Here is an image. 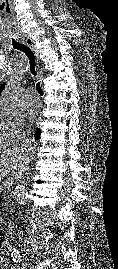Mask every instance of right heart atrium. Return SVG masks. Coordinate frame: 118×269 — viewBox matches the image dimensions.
<instances>
[{
	"label": "right heart atrium",
	"instance_id": "obj_1",
	"mask_svg": "<svg viewBox=\"0 0 118 269\" xmlns=\"http://www.w3.org/2000/svg\"><path fill=\"white\" fill-rule=\"evenodd\" d=\"M6 126L15 134H20L23 126L22 115L8 114L4 118H0V127Z\"/></svg>",
	"mask_w": 118,
	"mask_h": 269
}]
</instances>
